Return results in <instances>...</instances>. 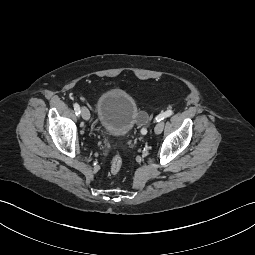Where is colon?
I'll return each mask as SVG.
<instances>
[{
	"label": "colon",
	"instance_id": "5ec220e1",
	"mask_svg": "<svg viewBox=\"0 0 255 255\" xmlns=\"http://www.w3.org/2000/svg\"><path fill=\"white\" fill-rule=\"evenodd\" d=\"M147 120V117L145 115H141L140 122H145ZM122 158L119 153H116L110 163V173L112 175H117L120 173L122 169Z\"/></svg>",
	"mask_w": 255,
	"mask_h": 255
}]
</instances>
